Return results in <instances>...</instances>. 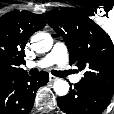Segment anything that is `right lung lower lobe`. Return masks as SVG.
Segmentation results:
<instances>
[{
  "instance_id": "98d812e1",
  "label": "right lung lower lobe",
  "mask_w": 114,
  "mask_h": 114,
  "mask_svg": "<svg viewBox=\"0 0 114 114\" xmlns=\"http://www.w3.org/2000/svg\"><path fill=\"white\" fill-rule=\"evenodd\" d=\"M49 80L41 71L36 76L27 73L0 80V114H27L34 105L35 93Z\"/></svg>"
}]
</instances>
